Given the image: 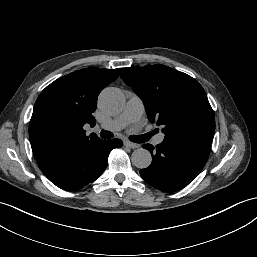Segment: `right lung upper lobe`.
Wrapping results in <instances>:
<instances>
[{"mask_svg": "<svg viewBox=\"0 0 257 257\" xmlns=\"http://www.w3.org/2000/svg\"><path fill=\"white\" fill-rule=\"evenodd\" d=\"M119 76V69L86 68L65 75L38 96L29 125L37 162L55 158L100 139L85 135L84 124H96L92 113L99 93Z\"/></svg>", "mask_w": 257, "mask_h": 257, "instance_id": "1", "label": "right lung upper lobe"}]
</instances>
